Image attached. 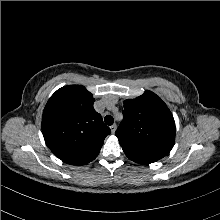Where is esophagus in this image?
<instances>
[{"instance_id": "esophagus-1", "label": "esophagus", "mask_w": 220, "mask_h": 220, "mask_svg": "<svg viewBox=\"0 0 220 220\" xmlns=\"http://www.w3.org/2000/svg\"><path fill=\"white\" fill-rule=\"evenodd\" d=\"M116 128H117L116 124H113L112 126H110L111 132H112L113 134L115 133Z\"/></svg>"}]
</instances>
